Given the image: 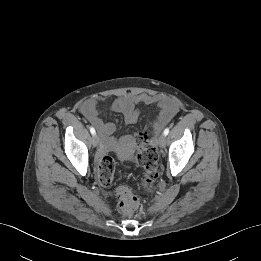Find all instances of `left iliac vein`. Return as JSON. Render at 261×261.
<instances>
[{"label": "left iliac vein", "mask_w": 261, "mask_h": 261, "mask_svg": "<svg viewBox=\"0 0 261 261\" xmlns=\"http://www.w3.org/2000/svg\"><path fill=\"white\" fill-rule=\"evenodd\" d=\"M158 144L160 147H164L165 144H166V136L164 134H161L159 137H158Z\"/></svg>", "instance_id": "4c4485c4"}]
</instances>
